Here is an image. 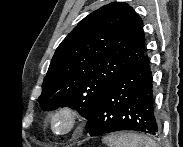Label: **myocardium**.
Here are the masks:
<instances>
[{"mask_svg": "<svg viewBox=\"0 0 183 147\" xmlns=\"http://www.w3.org/2000/svg\"><path fill=\"white\" fill-rule=\"evenodd\" d=\"M60 116L66 117L70 122L69 128L63 132H58L55 129V120ZM80 121V114L74 107L70 105H61L56 107L54 110L51 111L48 117L50 130L54 135L59 137H65L73 134L80 126Z\"/></svg>", "mask_w": 183, "mask_h": 147, "instance_id": "f54148a6", "label": "myocardium"}]
</instances>
